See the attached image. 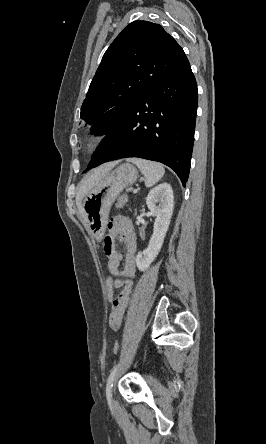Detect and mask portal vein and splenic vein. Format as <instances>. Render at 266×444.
<instances>
[{
  "mask_svg": "<svg viewBox=\"0 0 266 444\" xmlns=\"http://www.w3.org/2000/svg\"><path fill=\"white\" fill-rule=\"evenodd\" d=\"M137 191H138L137 189H134V190H133L134 193H137Z\"/></svg>",
  "mask_w": 266,
  "mask_h": 444,
  "instance_id": "1",
  "label": "portal vein and splenic vein"
}]
</instances>
